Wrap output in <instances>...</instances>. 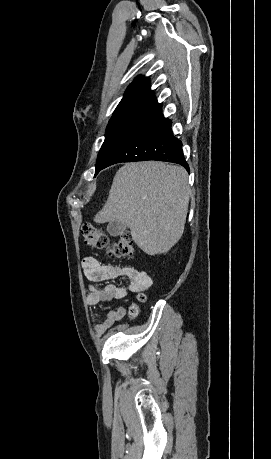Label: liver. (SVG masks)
I'll return each mask as SVG.
<instances>
[{"label":"liver","mask_w":271,"mask_h":459,"mask_svg":"<svg viewBox=\"0 0 271 459\" xmlns=\"http://www.w3.org/2000/svg\"><path fill=\"white\" fill-rule=\"evenodd\" d=\"M190 198L188 174L163 162L125 164L116 172L97 224L120 222L149 255L167 253L179 241Z\"/></svg>","instance_id":"obj_1"}]
</instances>
